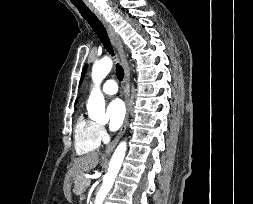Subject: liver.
Masks as SVG:
<instances>
[{
	"instance_id": "obj_1",
	"label": "liver",
	"mask_w": 253,
	"mask_h": 204,
	"mask_svg": "<svg viewBox=\"0 0 253 204\" xmlns=\"http://www.w3.org/2000/svg\"><path fill=\"white\" fill-rule=\"evenodd\" d=\"M98 162H99V153L97 152L88 153L84 156L74 159L73 165L66 175V181L64 185V191L67 192L66 197H69L68 191L70 187L69 186L70 179L75 178L78 175L95 168L98 165Z\"/></svg>"
}]
</instances>
